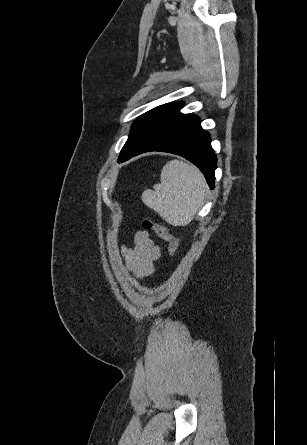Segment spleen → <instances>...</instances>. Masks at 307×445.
I'll list each match as a JSON object with an SVG mask.
<instances>
[{
  "label": "spleen",
  "mask_w": 307,
  "mask_h": 445,
  "mask_svg": "<svg viewBox=\"0 0 307 445\" xmlns=\"http://www.w3.org/2000/svg\"><path fill=\"white\" fill-rule=\"evenodd\" d=\"M161 182L154 190H144V204L156 210L166 223L186 227L202 206L207 190L206 180L197 166L184 160H169L161 170Z\"/></svg>",
  "instance_id": "3e777b00"
}]
</instances>
